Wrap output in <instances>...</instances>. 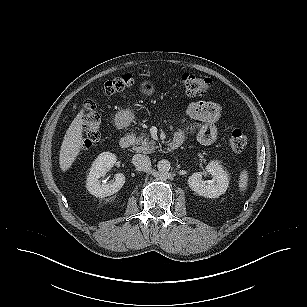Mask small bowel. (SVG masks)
Instances as JSON below:
<instances>
[{
  "instance_id": "c3829d8e",
  "label": "small bowel",
  "mask_w": 307,
  "mask_h": 307,
  "mask_svg": "<svg viewBox=\"0 0 307 307\" xmlns=\"http://www.w3.org/2000/svg\"><path fill=\"white\" fill-rule=\"evenodd\" d=\"M190 119L195 122L197 141L203 145H210L217 139L216 124L221 119V108L207 101H195L188 105L186 110ZM185 137V130L178 129L174 138Z\"/></svg>"
}]
</instances>
